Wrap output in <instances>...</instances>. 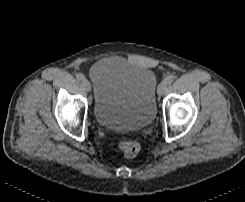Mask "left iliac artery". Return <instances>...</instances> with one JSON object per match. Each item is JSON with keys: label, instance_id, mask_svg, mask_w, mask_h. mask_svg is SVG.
I'll return each instance as SVG.
<instances>
[{"label": "left iliac artery", "instance_id": "1", "mask_svg": "<svg viewBox=\"0 0 245 202\" xmlns=\"http://www.w3.org/2000/svg\"><path fill=\"white\" fill-rule=\"evenodd\" d=\"M174 81V77L173 76H167L165 79H164V82L166 84H171L172 82Z\"/></svg>", "mask_w": 245, "mask_h": 202}]
</instances>
